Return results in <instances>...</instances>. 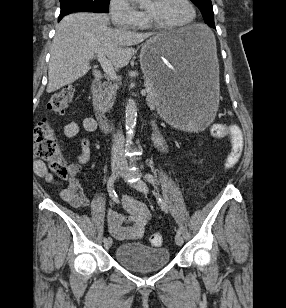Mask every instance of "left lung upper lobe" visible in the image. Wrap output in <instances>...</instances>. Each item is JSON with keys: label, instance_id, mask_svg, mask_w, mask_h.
<instances>
[{"label": "left lung upper lobe", "instance_id": "5c2ea615", "mask_svg": "<svg viewBox=\"0 0 286 308\" xmlns=\"http://www.w3.org/2000/svg\"><path fill=\"white\" fill-rule=\"evenodd\" d=\"M201 11L205 23L214 26V13L211 0H191Z\"/></svg>", "mask_w": 286, "mask_h": 308}]
</instances>
